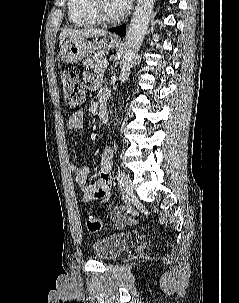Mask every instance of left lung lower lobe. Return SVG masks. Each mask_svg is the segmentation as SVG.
I'll return each mask as SVG.
<instances>
[{"mask_svg": "<svg viewBox=\"0 0 239 303\" xmlns=\"http://www.w3.org/2000/svg\"><path fill=\"white\" fill-rule=\"evenodd\" d=\"M109 31L116 32L119 36H124L126 33V25L124 24L122 26L109 29Z\"/></svg>", "mask_w": 239, "mask_h": 303, "instance_id": "0a47b994", "label": "left lung lower lobe"}]
</instances>
